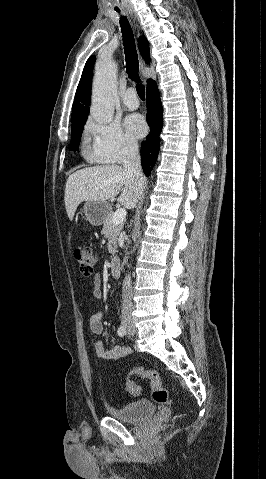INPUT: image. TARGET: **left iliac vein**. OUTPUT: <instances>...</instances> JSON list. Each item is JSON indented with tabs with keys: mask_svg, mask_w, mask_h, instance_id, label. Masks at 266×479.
I'll list each match as a JSON object with an SVG mask.
<instances>
[{
	"mask_svg": "<svg viewBox=\"0 0 266 479\" xmlns=\"http://www.w3.org/2000/svg\"><path fill=\"white\" fill-rule=\"evenodd\" d=\"M127 333H128L129 335H132V334L135 333V328H134L132 322H129V326H128V329H127Z\"/></svg>",
	"mask_w": 266,
	"mask_h": 479,
	"instance_id": "obj_1",
	"label": "left iliac vein"
}]
</instances>
